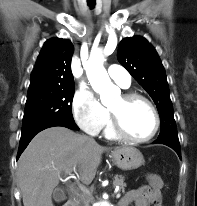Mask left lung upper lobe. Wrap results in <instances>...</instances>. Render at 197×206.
I'll return each instance as SVG.
<instances>
[{"label": "left lung upper lobe", "mask_w": 197, "mask_h": 206, "mask_svg": "<svg viewBox=\"0 0 197 206\" xmlns=\"http://www.w3.org/2000/svg\"><path fill=\"white\" fill-rule=\"evenodd\" d=\"M117 57L155 102L161 121L158 139H178L166 74L156 50L144 37L134 36L120 42Z\"/></svg>", "instance_id": "obj_1"}]
</instances>
